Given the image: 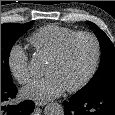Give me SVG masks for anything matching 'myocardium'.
Instances as JSON below:
<instances>
[{
	"instance_id": "obj_1",
	"label": "myocardium",
	"mask_w": 115,
	"mask_h": 115,
	"mask_svg": "<svg viewBox=\"0 0 115 115\" xmlns=\"http://www.w3.org/2000/svg\"><path fill=\"white\" fill-rule=\"evenodd\" d=\"M81 37H87L92 40V42L94 44V49H95L94 60H93L91 69L89 70L87 75L78 84L66 88V90L68 92H77V91L83 89L95 76V74L99 68V64H100V60H101V45H100L98 38L91 32H87V31L77 32V33L73 34L72 36H70L69 38H67L60 45V47L57 49V51L49 58V60H51L53 62L60 61L66 54L70 45L76 39L81 38Z\"/></svg>"
}]
</instances>
